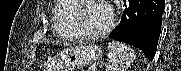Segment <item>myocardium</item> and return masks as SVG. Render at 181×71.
Masks as SVG:
<instances>
[{"label": "myocardium", "mask_w": 181, "mask_h": 71, "mask_svg": "<svg viewBox=\"0 0 181 71\" xmlns=\"http://www.w3.org/2000/svg\"><path fill=\"white\" fill-rule=\"evenodd\" d=\"M63 1L69 2L72 5V12L70 15V25L77 38L85 39V40H97L110 34L116 26L117 17L115 13V8L107 0H101V1L105 3V5L108 7L110 11V21L104 29L98 32H88V31L83 30L79 26L78 16L81 11V5L78 2V0H63Z\"/></svg>", "instance_id": "1"}]
</instances>
